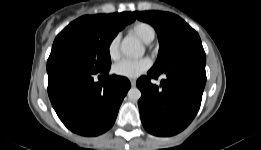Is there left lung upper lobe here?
Masks as SVG:
<instances>
[{
	"instance_id": "5c2ea615",
	"label": "left lung upper lobe",
	"mask_w": 261,
	"mask_h": 150,
	"mask_svg": "<svg viewBox=\"0 0 261 150\" xmlns=\"http://www.w3.org/2000/svg\"><path fill=\"white\" fill-rule=\"evenodd\" d=\"M137 19L151 24L159 40V53L152 68H162L177 54L192 48L202 47L198 33L175 14L161 11L134 12Z\"/></svg>"
}]
</instances>
